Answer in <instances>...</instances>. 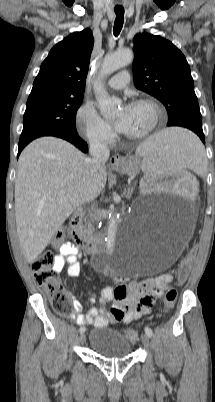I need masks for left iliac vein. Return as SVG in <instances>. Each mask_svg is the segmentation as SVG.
Instances as JSON below:
<instances>
[{"instance_id": "1", "label": "left iliac vein", "mask_w": 215, "mask_h": 402, "mask_svg": "<svg viewBox=\"0 0 215 402\" xmlns=\"http://www.w3.org/2000/svg\"><path fill=\"white\" fill-rule=\"evenodd\" d=\"M141 341L144 347L149 348L150 347V338L147 334H143L141 336Z\"/></svg>"}]
</instances>
